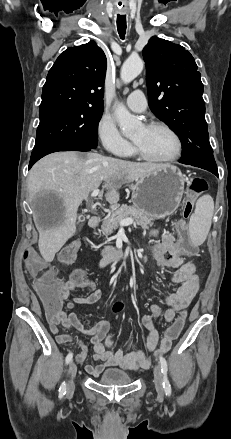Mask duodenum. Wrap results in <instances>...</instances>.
<instances>
[{
  "mask_svg": "<svg viewBox=\"0 0 231 439\" xmlns=\"http://www.w3.org/2000/svg\"><path fill=\"white\" fill-rule=\"evenodd\" d=\"M89 227L92 229L98 228L101 224V218L99 216H92L89 219ZM128 255V252L126 249L123 248H111L109 249L101 258L99 262L100 267H105L106 265L121 260L123 258H126Z\"/></svg>",
  "mask_w": 231,
  "mask_h": 439,
  "instance_id": "duodenum-1",
  "label": "duodenum"
}]
</instances>
